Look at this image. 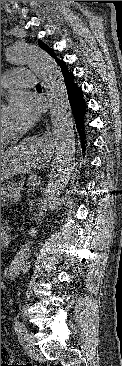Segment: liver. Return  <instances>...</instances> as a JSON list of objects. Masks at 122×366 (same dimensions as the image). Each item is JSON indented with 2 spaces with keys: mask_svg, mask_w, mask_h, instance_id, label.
Segmentation results:
<instances>
[{
  "mask_svg": "<svg viewBox=\"0 0 122 366\" xmlns=\"http://www.w3.org/2000/svg\"><path fill=\"white\" fill-rule=\"evenodd\" d=\"M10 151L1 150V159H5L9 155Z\"/></svg>",
  "mask_w": 122,
  "mask_h": 366,
  "instance_id": "obj_1",
  "label": "liver"
}]
</instances>
